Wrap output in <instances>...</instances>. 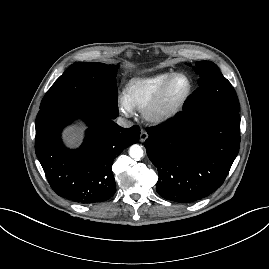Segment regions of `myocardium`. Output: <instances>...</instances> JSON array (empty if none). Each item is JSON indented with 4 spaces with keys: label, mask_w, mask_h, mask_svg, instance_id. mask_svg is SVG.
Masks as SVG:
<instances>
[{
    "label": "myocardium",
    "mask_w": 269,
    "mask_h": 269,
    "mask_svg": "<svg viewBox=\"0 0 269 269\" xmlns=\"http://www.w3.org/2000/svg\"><path fill=\"white\" fill-rule=\"evenodd\" d=\"M179 77L187 80V90L184 95L176 102L165 105L164 99L171 83ZM192 81L188 75L182 72L173 73L158 89L151 101L142 110L145 120L151 123L160 124L169 121L175 117L185 106L192 94Z\"/></svg>",
    "instance_id": "obj_1"
}]
</instances>
